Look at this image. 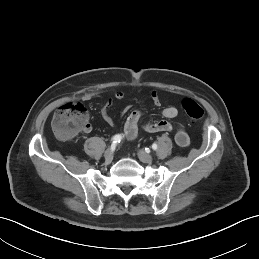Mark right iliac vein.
<instances>
[{
	"label": "right iliac vein",
	"instance_id": "obj_1",
	"mask_svg": "<svg viewBox=\"0 0 259 259\" xmlns=\"http://www.w3.org/2000/svg\"><path fill=\"white\" fill-rule=\"evenodd\" d=\"M113 151L111 149H107L104 153L105 162L110 164L113 160Z\"/></svg>",
	"mask_w": 259,
	"mask_h": 259
}]
</instances>
